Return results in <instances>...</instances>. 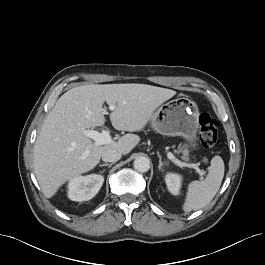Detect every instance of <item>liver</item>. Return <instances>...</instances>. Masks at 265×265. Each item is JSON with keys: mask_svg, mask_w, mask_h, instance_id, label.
<instances>
[{"mask_svg": "<svg viewBox=\"0 0 265 265\" xmlns=\"http://www.w3.org/2000/svg\"><path fill=\"white\" fill-rule=\"evenodd\" d=\"M175 94L146 84H91L64 93L45 118L34 146V172L44 195L53 197L68 180L92 170L103 152L127 155L140 142L138 135L128 133L116 142L95 145L81 132L104 125V102L115 106L110 120L116 130L138 132Z\"/></svg>", "mask_w": 265, "mask_h": 265, "instance_id": "1", "label": "liver"}]
</instances>
